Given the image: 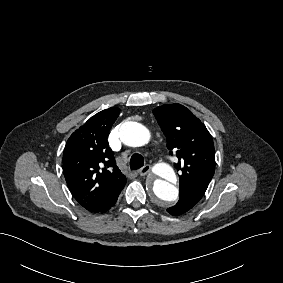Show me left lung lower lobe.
<instances>
[{"instance_id": "left-lung-lower-lobe-1", "label": "left lung lower lobe", "mask_w": 283, "mask_h": 283, "mask_svg": "<svg viewBox=\"0 0 283 283\" xmlns=\"http://www.w3.org/2000/svg\"><path fill=\"white\" fill-rule=\"evenodd\" d=\"M202 197L189 192H183L180 194L179 201L173 207L167 209V212L171 215L178 216L181 215L192 207H194Z\"/></svg>"}]
</instances>
